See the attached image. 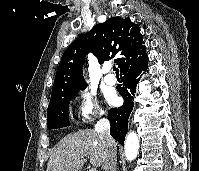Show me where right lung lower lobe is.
Segmentation results:
<instances>
[{"label": "right lung lower lobe", "mask_w": 199, "mask_h": 171, "mask_svg": "<svg viewBox=\"0 0 199 171\" xmlns=\"http://www.w3.org/2000/svg\"><path fill=\"white\" fill-rule=\"evenodd\" d=\"M148 56L147 54L132 64L127 65L120 70L124 75L123 85L117 89L124 99V104L119 108L110 109L108 119L111 124V136L121 145L124 144V139L128 128V118L133 109V99L135 96L136 86L141 78V72L147 69Z\"/></svg>", "instance_id": "right-lung-lower-lobe-1"}]
</instances>
